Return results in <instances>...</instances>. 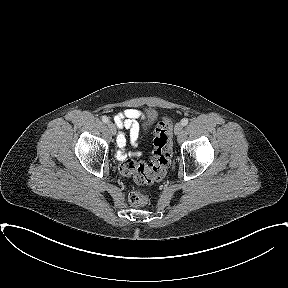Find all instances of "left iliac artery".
Segmentation results:
<instances>
[{
	"label": "left iliac artery",
	"instance_id": "1",
	"mask_svg": "<svg viewBox=\"0 0 288 288\" xmlns=\"http://www.w3.org/2000/svg\"><path fill=\"white\" fill-rule=\"evenodd\" d=\"M188 119L187 118H184L182 121H181V124L183 125V126H186L187 124H188Z\"/></svg>",
	"mask_w": 288,
	"mask_h": 288
}]
</instances>
